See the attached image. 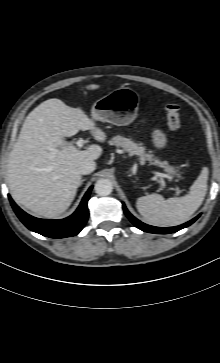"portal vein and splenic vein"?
<instances>
[{
	"label": "portal vein and splenic vein",
	"mask_w": 220,
	"mask_h": 363,
	"mask_svg": "<svg viewBox=\"0 0 220 363\" xmlns=\"http://www.w3.org/2000/svg\"><path fill=\"white\" fill-rule=\"evenodd\" d=\"M76 144H77V146H78V147H82V146H83V144H84V140H83V139H78V140H77V142H76ZM50 150H51L54 154H56V153L58 152V150L53 149V148H51ZM154 174H155L156 176H158V177H161V178H167L170 182H172V183L174 184L176 193H178V194L182 193V190L179 188V186H177V185L175 184V182L173 181V179H172V177H171V176H169L168 174H165V173H159V172H154Z\"/></svg>",
	"instance_id": "18ae733b"
}]
</instances>
